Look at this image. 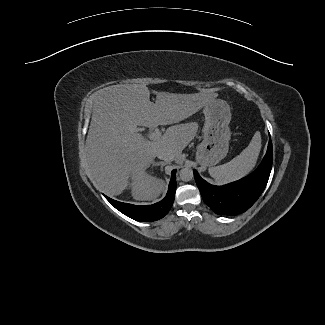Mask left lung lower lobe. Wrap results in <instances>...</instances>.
<instances>
[{
	"mask_svg": "<svg viewBox=\"0 0 325 325\" xmlns=\"http://www.w3.org/2000/svg\"><path fill=\"white\" fill-rule=\"evenodd\" d=\"M273 161L272 141L269 139L266 155L258 168L248 176L223 185L214 186L200 177H194L204 202L219 215H237L248 210L265 189Z\"/></svg>",
	"mask_w": 325,
	"mask_h": 325,
	"instance_id": "0a47b994",
	"label": "left lung lower lobe"
}]
</instances>
